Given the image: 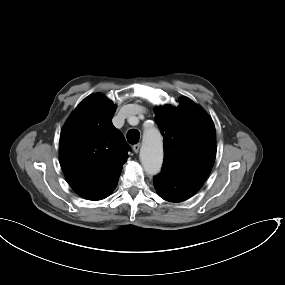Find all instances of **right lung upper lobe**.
Wrapping results in <instances>:
<instances>
[{
    "label": "right lung upper lobe",
    "instance_id": "obj_1",
    "mask_svg": "<svg viewBox=\"0 0 285 285\" xmlns=\"http://www.w3.org/2000/svg\"><path fill=\"white\" fill-rule=\"evenodd\" d=\"M115 105L101 94L85 98L60 135L59 160L72 189L88 200H101L117 184L130 150L112 124Z\"/></svg>",
    "mask_w": 285,
    "mask_h": 285
}]
</instances>
